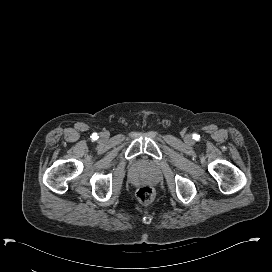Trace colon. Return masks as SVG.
Masks as SVG:
<instances>
[{
  "label": "colon",
  "instance_id": "1",
  "mask_svg": "<svg viewBox=\"0 0 272 272\" xmlns=\"http://www.w3.org/2000/svg\"><path fill=\"white\" fill-rule=\"evenodd\" d=\"M136 197L141 203L148 204L154 200L155 192L150 186H142L136 191Z\"/></svg>",
  "mask_w": 272,
  "mask_h": 272
}]
</instances>
